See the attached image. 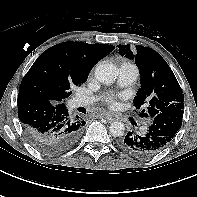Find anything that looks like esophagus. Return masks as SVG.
<instances>
[{
	"mask_svg": "<svg viewBox=\"0 0 197 197\" xmlns=\"http://www.w3.org/2000/svg\"><path fill=\"white\" fill-rule=\"evenodd\" d=\"M100 118L106 119L108 122H112L115 120V117L110 113H103Z\"/></svg>",
	"mask_w": 197,
	"mask_h": 197,
	"instance_id": "esophagus-1",
	"label": "esophagus"
}]
</instances>
